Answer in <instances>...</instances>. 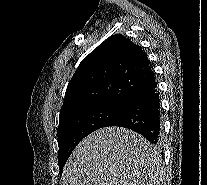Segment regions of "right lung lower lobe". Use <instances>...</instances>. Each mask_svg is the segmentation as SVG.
<instances>
[{
  "instance_id": "obj_1",
  "label": "right lung lower lobe",
  "mask_w": 207,
  "mask_h": 185,
  "mask_svg": "<svg viewBox=\"0 0 207 185\" xmlns=\"http://www.w3.org/2000/svg\"><path fill=\"white\" fill-rule=\"evenodd\" d=\"M108 126L131 129L159 146L162 140L161 106L156 81L131 97L121 107L119 114L106 125Z\"/></svg>"
}]
</instances>
